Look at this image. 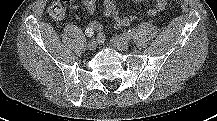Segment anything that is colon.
I'll list each match as a JSON object with an SVG mask.
<instances>
[{"label":"colon","mask_w":217,"mask_h":121,"mask_svg":"<svg viewBox=\"0 0 217 121\" xmlns=\"http://www.w3.org/2000/svg\"><path fill=\"white\" fill-rule=\"evenodd\" d=\"M66 12V0H56L48 7L49 15L54 19H62Z\"/></svg>","instance_id":"1"}]
</instances>
